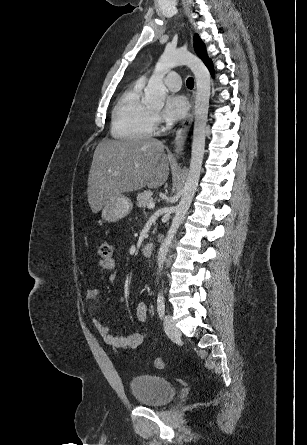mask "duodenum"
Instances as JSON below:
<instances>
[{
	"instance_id": "410a0bca",
	"label": "duodenum",
	"mask_w": 307,
	"mask_h": 445,
	"mask_svg": "<svg viewBox=\"0 0 307 445\" xmlns=\"http://www.w3.org/2000/svg\"><path fill=\"white\" fill-rule=\"evenodd\" d=\"M155 245L153 242H147L142 247V253L144 256L149 257L154 252Z\"/></svg>"
}]
</instances>
